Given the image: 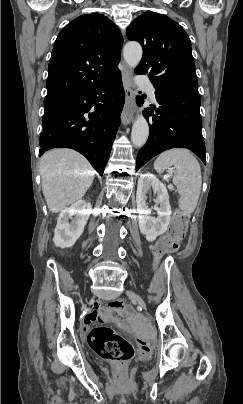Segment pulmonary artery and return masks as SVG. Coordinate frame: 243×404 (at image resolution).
I'll use <instances>...</instances> for the list:
<instances>
[{
  "label": "pulmonary artery",
  "instance_id": "1",
  "mask_svg": "<svg viewBox=\"0 0 243 404\" xmlns=\"http://www.w3.org/2000/svg\"><path fill=\"white\" fill-rule=\"evenodd\" d=\"M144 89L146 91V93L148 94L150 100L152 102L156 101V95H155V87L152 83H147L146 85H144Z\"/></svg>",
  "mask_w": 243,
  "mask_h": 404
}]
</instances>
